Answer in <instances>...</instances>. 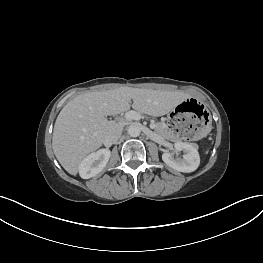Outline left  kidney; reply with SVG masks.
<instances>
[{
    "label": "left kidney",
    "mask_w": 263,
    "mask_h": 263,
    "mask_svg": "<svg viewBox=\"0 0 263 263\" xmlns=\"http://www.w3.org/2000/svg\"><path fill=\"white\" fill-rule=\"evenodd\" d=\"M177 151H183L184 155L182 158L174 157L169 152H164L162 160L171 168L180 172H193L200 164V156L198 150L193 144L178 141L174 144Z\"/></svg>",
    "instance_id": "5707ae66"
}]
</instances>
